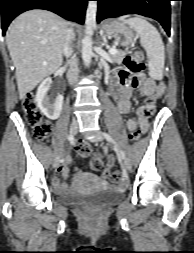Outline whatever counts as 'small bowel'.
<instances>
[{"label":"small bowel","mask_w":194,"mask_h":253,"mask_svg":"<svg viewBox=\"0 0 194 253\" xmlns=\"http://www.w3.org/2000/svg\"><path fill=\"white\" fill-rule=\"evenodd\" d=\"M111 94L116 101L117 109L121 114H128L133 107L132 92L138 90L140 96L148 97V99L159 98L163 91L164 86L157 84L154 80L145 78L142 75H131L126 70H122L111 82ZM149 116L140 113L139 109L136 116L127 120L126 126L129 131L140 130L142 133L147 132L149 128ZM70 158L66 157L65 162L56 171L53 177L54 187L59 192H64L68 189L65 182V178L68 174V164ZM115 163V157L113 155L107 156L106 166L102 172L104 177H107Z\"/></svg>","instance_id":"small-bowel-1"}]
</instances>
